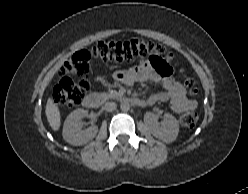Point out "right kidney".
Returning a JSON list of instances; mask_svg holds the SVG:
<instances>
[{
	"label": "right kidney",
	"mask_w": 248,
	"mask_h": 194,
	"mask_svg": "<svg viewBox=\"0 0 248 194\" xmlns=\"http://www.w3.org/2000/svg\"><path fill=\"white\" fill-rule=\"evenodd\" d=\"M88 116V111L77 109L71 112L65 120L63 127V138L71 145L80 146L92 140L97 132V126H91L82 130V119Z\"/></svg>",
	"instance_id": "obj_1"
}]
</instances>
